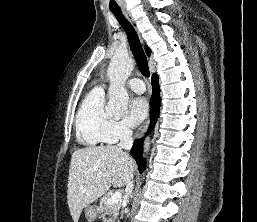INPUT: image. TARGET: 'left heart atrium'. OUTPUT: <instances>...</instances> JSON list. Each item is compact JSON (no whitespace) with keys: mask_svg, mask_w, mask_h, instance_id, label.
Instances as JSON below:
<instances>
[{"mask_svg":"<svg viewBox=\"0 0 257 222\" xmlns=\"http://www.w3.org/2000/svg\"><path fill=\"white\" fill-rule=\"evenodd\" d=\"M130 122L132 125L141 123L148 114V103L144 97H136L129 105Z\"/></svg>","mask_w":257,"mask_h":222,"instance_id":"39dd6f15","label":"left heart atrium"}]
</instances>
